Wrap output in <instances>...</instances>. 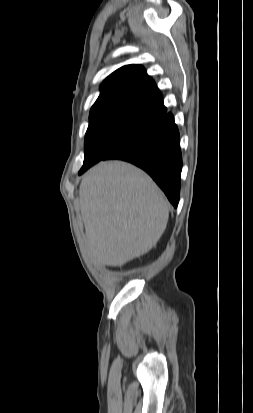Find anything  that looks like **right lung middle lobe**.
<instances>
[{
  "label": "right lung middle lobe",
  "mask_w": 253,
  "mask_h": 413,
  "mask_svg": "<svg viewBox=\"0 0 253 413\" xmlns=\"http://www.w3.org/2000/svg\"><path fill=\"white\" fill-rule=\"evenodd\" d=\"M162 118L130 110H111L91 114L85 135V158L81 172L108 154L146 133Z\"/></svg>",
  "instance_id": "dd1d6c3e"
}]
</instances>
